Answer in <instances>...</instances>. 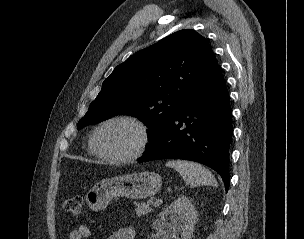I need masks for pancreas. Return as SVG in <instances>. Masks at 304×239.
<instances>
[{
  "mask_svg": "<svg viewBox=\"0 0 304 239\" xmlns=\"http://www.w3.org/2000/svg\"><path fill=\"white\" fill-rule=\"evenodd\" d=\"M151 203L152 202H148L147 204H139L135 209L136 214L138 216H144L150 213L153 210V208L151 207Z\"/></svg>",
  "mask_w": 304,
  "mask_h": 239,
  "instance_id": "cf45deb5",
  "label": "pancreas"
}]
</instances>
